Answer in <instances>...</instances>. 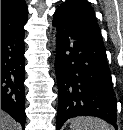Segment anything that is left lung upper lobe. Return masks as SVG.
Segmentation results:
<instances>
[{
	"label": "left lung upper lobe",
	"instance_id": "left-lung-upper-lobe-1",
	"mask_svg": "<svg viewBox=\"0 0 123 130\" xmlns=\"http://www.w3.org/2000/svg\"><path fill=\"white\" fill-rule=\"evenodd\" d=\"M82 30L101 37L94 9L87 0H66L59 8Z\"/></svg>",
	"mask_w": 123,
	"mask_h": 130
}]
</instances>
